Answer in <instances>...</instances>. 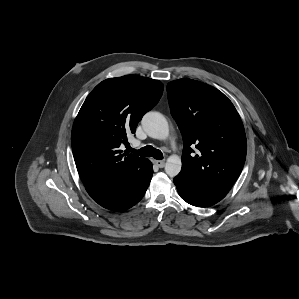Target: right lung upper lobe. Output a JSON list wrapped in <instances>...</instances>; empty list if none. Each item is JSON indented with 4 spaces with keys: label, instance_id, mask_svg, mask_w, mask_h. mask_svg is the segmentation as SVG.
<instances>
[{
    "label": "right lung upper lobe",
    "instance_id": "obj_1",
    "mask_svg": "<svg viewBox=\"0 0 299 299\" xmlns=\"http://www.w3.org/2000/svg\"><path fill=\"white\" fill-rule=\"evenodd\" d=\"M162 93L160 81L134 75L106 79L92 90L71 133L75 164L85 185L112 184L144 167L146 158L122 154L119 147Z\"/></svg>",
    "mask_w": 299,
    "mask_h": 299
}]
</instances>
